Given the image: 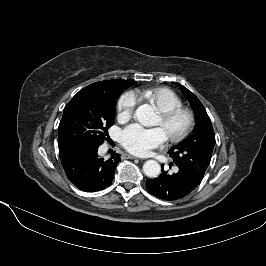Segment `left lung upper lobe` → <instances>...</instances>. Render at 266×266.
<instances>
[{"mask_svg":"<svg viewBox=\"0 0 266 266\" xmlns=\"http://www.w3.org/2000/svg\"><path fill=\"white\" fill-rule=\"evenodd\" d=\"M177 85L192 106L196 127L188 139L173 146L168 154L178 167L186 169L192 176L201 181L212 157L215 134L211 120L200 100L183 85L179 83Z\"/></svg>","mask_w":266,"mask_h":266,"instance_id":"5c2ea615","label":"left lung upper lobe"}]
</instances>
